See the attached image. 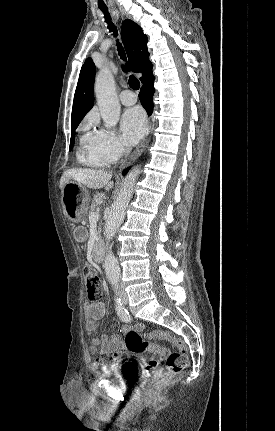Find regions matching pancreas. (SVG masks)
<instances>
[{"label": "pancreas", "mask_w": 275, "mask_h": 431, "mask_svg": "<svg viewBox=\"0 0 275 431\" xmlns=\"http://www.w3.org/2000/svg\"><path fill=\"white\" fill-rule=\"evenodd\" d=\"M102 200H103L102 193H97L96 195H94V198L92 200V204L90 207V213L93 212L101 204Z\"/></svg>", "instance_id": "1"}]
</instances>
